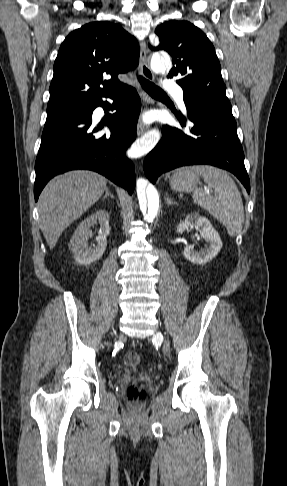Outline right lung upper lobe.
<instances>
[{
	"label": "right lung upper lobe",
	"instance_id": "obj_1",
	"mask_svg": "<svg viewBox=\"0 0 287 486\" xmlns=\"http://www.w3.org/2000/svg\"><path fill=\"white\" fill-rule=\"evenodd\" d=\"M136 39L119 24L92 22L71 32L54 62L47 110L84 106L126 87L118 79L137 65ZM111 75L104 80L103 76Z\"/></svg>",
	"mask_w": 287,
	"mask_h": 486
}]
</instances>
